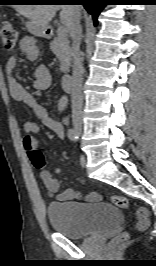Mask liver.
<instances>
[{"instance_id": "1", "label": "liver", "mask_w": 156, "mask_h": 266, "mask_svg": "<svg viewBox=\"0 0 156 266\" xmlns=\"http://www.w3.org/2000/svg\"><path fill=\"white\" fill-rule=\"evenodd\" d=\"M61 10L60 20L69 31L72 23V5H20L17 11L41 28L46 29L56 12Z\"/></svg>"}]
</instances>
